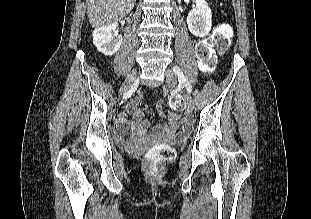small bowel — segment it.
Returning <instances> with one entry per match:
<instances>
[{
	"instance_id": "c3829d8e",
	"label": "small bowel",
	"mask_w": 311,
	"mask_h": 219,
	"mask_svg": "<svg viewBox=\"0 0 311 219\" xmlns=\"http://www.w3.org/2000/svg\"><path fill=\"white\" fill-rule=\"evenodd\" d=\"M140 96H135L127 105V110L133 115L134 122L131 127L130 134L135 140L145 139L150 126V120L145 119L143 113L139 109ZM168 123L165 125L158 126L154 131V136L165 135L168 137H174L177 139H183L190 131V123L188 119H182L177 114L167 116ZM124 116L119 119V125L124 124ZM181 125L182 128L177 127ZM120 127V126H119ZM119 129V128H118ZM120 132V131H119ZM128 132H120V138L126 135Z\"/></svg>"
}]
</instances>
